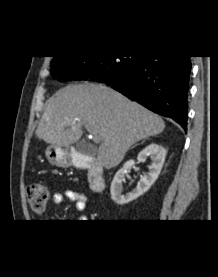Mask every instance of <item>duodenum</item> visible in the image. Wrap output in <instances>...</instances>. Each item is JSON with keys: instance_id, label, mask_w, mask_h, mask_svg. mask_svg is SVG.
Returning <instances> with one entry per match:
<instances>
[{"instance_id": "duodenum-1", "label": "duodenum", "mask_w": 218, "mask_h": 277, "mask_svg": "<svg viewBox=\"0 0 218 277\" xmlns=\"http://www.w3.org/2000/svg\"><path fill=\"white\" fill-rule=\"evenodd\" d=\"M73 165L78 169L88 171V185L93 192H102L105 188V178L102 166L89 155L75 153L72 156Z\"/></svg>"}]
</instances>
